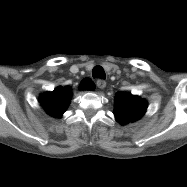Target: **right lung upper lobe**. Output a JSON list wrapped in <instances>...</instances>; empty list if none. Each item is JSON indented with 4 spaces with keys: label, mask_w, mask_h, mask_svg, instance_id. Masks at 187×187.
Returning a JSON list of instances; mask_svg holds the SVG:
<instances>
[{
    "label": "right lung upper lobe",
    "mask_w": 187,
    "mask_h": 187,
    "mask_svg": "<svg viewBox=\"0 0 187 187\" xmlns=\"http://www.w3.org/2000/svg\"><path fill=\"white\" fill-rule=\"evenodd\" d=\"M72 88L69 86L57 87L53 92L41 96V101L46 112L55 117H60L70 103Z\"/></svg>",
    "instance_id": "right-lung-upper-lobe-1"
}]
</instances>
